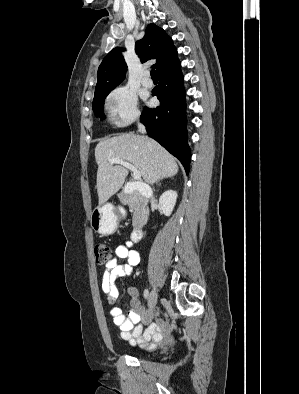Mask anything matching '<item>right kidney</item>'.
<instances>
[{
	"instance_id": "right-kidney-1",
	"label": "right kidney",
	"mask_w": 299,
	"mask_h": 394,
	"mask_svg": "<svg viewBox=\"0 0 299 394\" xmlns=\"http://www.w3.org/2000/svg\"><path fill=\"white\" fill-rule=\"evenodd\" d=\"M177 199V192L173 190L165 191L159 198L161 210L165 216H170Z\"/></svg>"
}]
</instances>
